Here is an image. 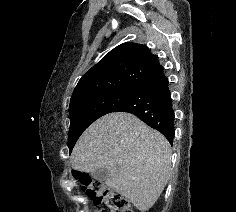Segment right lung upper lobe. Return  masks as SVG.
I'll return each mask as SVG.
<instances>
[{
    "instance_id": "cb5924a9",
    "label": "right lung upper lobe",
    "mask_w": 236,
    "mask_h": 212,
    "mask_svg": "<svg viewBox=\"0 0 236 212\" xmlns=\"http://www.w3.org/2000/svg\"><path fill=\"white\" fill-rule=\"evenodd\" d=\"M160 66L158 57L146 46L123 43L82 76L70 102L102 92L134 88L144 76Z\"/></svg>"
}]
</instances>
